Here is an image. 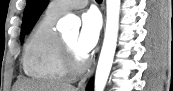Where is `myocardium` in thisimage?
Masks as SVG:
<instances>
[{"label": "myocardium", "instance_id": "1", "mask_svg": "<svg viewBox=\"0 0 173 91\" xmlns=\"http://www.w3.org/2000/svg\"><path fill=\"white\" fill-rule=\"evenodd\" d=\"M61 52L64 67L69 75H79L87 67L88 61L78 56L64 38H61Z\"/></svg>", "mask_w": 173, "mask_h": 91}]
</instances>
